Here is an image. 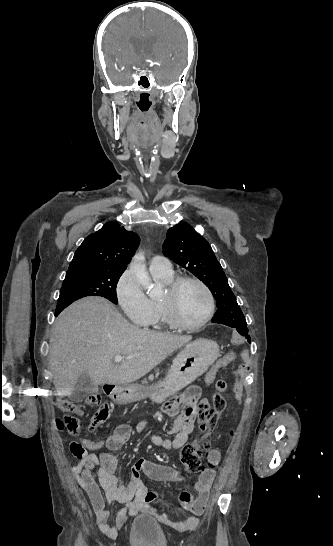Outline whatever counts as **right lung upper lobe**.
Returning <instances> with one entry per match:
<instances>
[{"mask_svg":"<svg viewBox=\"0 0 333 546\" xmlns=\"http://www.w3.org/2000/svg\"><path fill=\"white\" fill-rule=\"evenodd\" d=\"M140 243L139 236L116 222L106 223L76 250L66 274L95 269L124 270Z\"/></svg>","mask_w":333,"mask_h":546,"instance_id":"right-lung-upper-lobe-1","label":"right lung upper lobe"}]
</instances>
